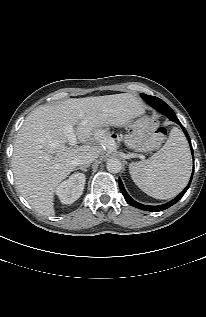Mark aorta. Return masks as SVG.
<instances>
[{"instance_id": "762f6f07", "label": "aorta", "mask_w": 206, "mask_h": 317, "mask_svg": "<svg viewBox=\"0 0 206 317\" xmlns=\"http://www.w3.org/2000/svg\"><path fill=\"white\" fill-rule=\"evenodd\" d=\"M106 167L110 173H118L122 169V163L117 158H111L107 161Z\"/></svg>"}]
</instances>
